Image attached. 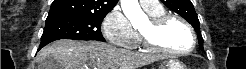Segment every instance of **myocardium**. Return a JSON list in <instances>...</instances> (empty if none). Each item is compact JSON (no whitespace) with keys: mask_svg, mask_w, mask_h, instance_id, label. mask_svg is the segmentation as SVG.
I'll return each instance as SVG.
<instances>
[{"mask_svg":"<svg viewBox=\"0 0 246 69\" xmlns=\"http://www.w3.org/2000/svg\"><path fill=\"white\" fill-rule=\"evenodd\" d=\"M170 20L180 21L183 24V26L187 29V31L190 35V41L192 42V45L189 48H187L185 50H177V49H173V48L164 47V46L159 45L158 43L152 41L148 34L142 32V31H139L141 41L143 42V44L147 48H149L155 52H159V53H163V54H167V55H179V54H186V53L191 52L195 48V42H196L194 30L191 27V25L181 16H179L177 14H173V13H165V14L157 16V17H151L148 21L149 29L152 33H157Z\"/></svg>","mask_w":246,"mask_h":69,"instance_id":"f54148a6","label":"myocardium"}]
</instances>
